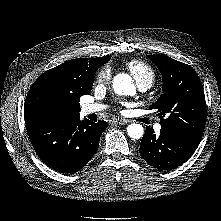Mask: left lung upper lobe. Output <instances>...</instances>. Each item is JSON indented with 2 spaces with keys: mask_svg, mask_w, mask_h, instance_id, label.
<instances>
[{
  "mask_svg": "<svg viewBox=\"0 0 221 221\" xmlns=\"http://www.w3.org/2000/svg\"><path fill=\"white\" fill-rule=\"evenodd\" d=\"M163 77V94L150 109L157 111L161 129L201 139L206 122V102L195 70L164 55H148Z\"/></svg>",
  "mask_w": 221,
  "mask_h": 221,
  "instance_id": "left-lung-upper-lobe-1",
  "label": "left lung upper lobe"
}]
</instances>
